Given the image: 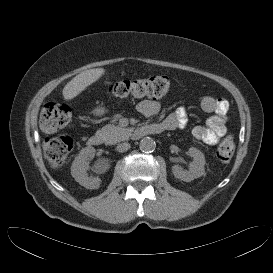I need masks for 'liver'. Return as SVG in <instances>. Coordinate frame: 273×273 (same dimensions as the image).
Returning <instances> with one entry per match:
<instances>
[{
	"label": "liver",
	"instance_id": "obj_1",
	"mask_svg": "<svg viewBox=\"0 0 273 273\" xmlns=\"http://www.w3.org/2000/svg\"><path fill=\"white\" fill-rule=\"evenodd\" d=\"M106 70L104 68H94L76 75L63 88L62 94L65 100H71L78 96L88 86L99 80Z\"/></svg>",
	"mask_w": 273,
	"mask_h": 273
}]
</instances>
